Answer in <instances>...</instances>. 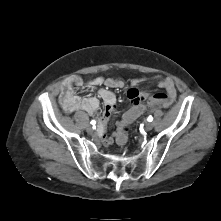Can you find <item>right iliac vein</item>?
I'll return each instance as SVG.
<instances>
[{
    "instance_id": "63e3f726",
    "label": "right iliac vein",
    "mask_w": 221,
    "mask_h": 221,
    "mask_svg": "<svg viewBox=\"0 0 221 221\" xmlns=\"http://www.w3.org/2000/svg\"><path fill=\"white\" fill-rule=\"evenodd\" d=\"M86 130H87V132L90 133V134L93 133V128H92L90 125L87 126Z\"/></svg>"
}]
</instances>
